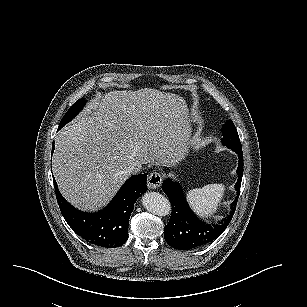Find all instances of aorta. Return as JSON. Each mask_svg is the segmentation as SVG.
Masks as SVG:
<instances>
[{
	"instance_id": "obj_1",
	"label": "aorta",
	"mask_w": 307,
	"mask_h": 307,
	"mask_svg": "<svg viewBox=\"0 0 307 307\" xmlns=\"http://www.w3.org/2000/svg\"><path fill=\"white\" fill-rule=\"evenodd\" d=\"M144 209L155 215H165L170 211V202L167 198L155 191L144 193L140 199Z\"/></svg>"
}]
</instances>
